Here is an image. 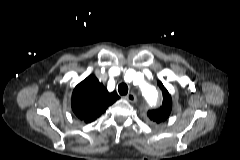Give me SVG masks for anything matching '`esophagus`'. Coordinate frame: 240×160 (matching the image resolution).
Listing matches in <instances>:
<instances>
[{
    "label": "esophagus",
    "mask_w": 240,
    "mask_h": 160,
    "mask_svg": "<svg viewBox=\"0 0 240 160\" xmlns=\"http://www.w3.org/2000/svg\"><path fill=\"white\" fill-rule=\"evenodd\" d=\"M125 99L131 103H135L137 101V97L134 93H129L125 96Z\"/></svg>",
    "instance_id": "obj_1"
}]
</instances>
